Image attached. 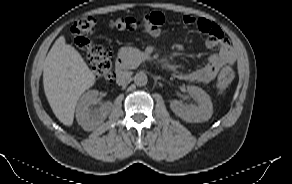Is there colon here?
Returning a JSON list of instances; mask_svg holds the SVG:
<instances>
[{"mask_svg":"<svg viewBox=\"0 0 292 184\" xmlns=\"http://www.w3.org/2000/svg\"><path fill=\"white\" fill-rule=\"evenodd\" d=\"M162 18L155 12L149 14L143 21L131 17L118 18L112 22V26L118 30H131L143 25L146 31L155 36L161 30ZM95 30V20L92 17H84L77 20L71 32L74 42L79 49L85 52L94 74L98 78L110 80L113 78V59L110 50L92 40ZM234 78V71L231 67H224L217 79V89L224 94Z\"/></svg>","mask_w":292,"mask_h":184,"instance_id":"5ec220e1","label":"colon"}]
</instances>
